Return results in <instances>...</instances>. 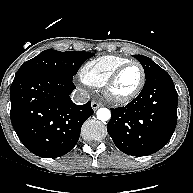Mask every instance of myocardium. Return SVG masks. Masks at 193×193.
<instances>
[{
    "instance_id": "f54148a6",
    "label": "myocardium",
    "mask_w": 193,
    "mask_h": 193,
    "mask_svg": "<svg viewBox=\"0 0 193 193\" xmlns=\"http://www.w3.org/2000/svg\"><path fill=\"white\" fill-rule=\"evenodd\" d=\"M130 66H136L139 68L140 73H141V78H140L139 84L128 95H125V96L115 95L113 92V88H114V85H115L117 79L122 74V72ZM145 82H146V73H145L143 66L137 61H129V62L119 66L117 69H115L111 73V75L108 77L105 84L103 85V92H104L105 97L111 103L116 104V105H124V104H127V103L131 102L132 100H134L141 93V91L145 85Z\"/></svg>"
}]
</instances>
